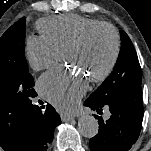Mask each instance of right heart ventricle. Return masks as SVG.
I'll return each mask as SVG.
<instances>
[{
	"label": "right heart ventricle",
	"instance_id": "1",
	"mask_svg": "<svg viewBox=\"0 0 151 151\" xmlns=\"http://www.w3.org/2000/svg\"><path fill=\"white\" fill-rule=\"evenodd\" d=\"M100 23L96 19L66 14L44 18L38 22L37 27L41 35L63 53L87 29Z\"/></svg>",
	"mask_w": 151,
	"mask_h": 151
}]
</instances>
